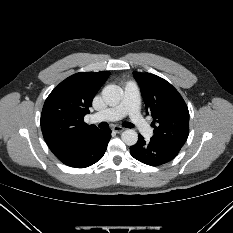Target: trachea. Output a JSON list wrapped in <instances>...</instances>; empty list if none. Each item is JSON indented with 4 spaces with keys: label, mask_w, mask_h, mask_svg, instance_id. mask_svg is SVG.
I'll return each instance as SVG.
<instances>
[{
    "label": "trachea",
    "mask_w": 233,
    "mask_h": 233,
    "mask_svg": "<svg viewBox=\"0 0 233 233\" xmlns=\"http://www.w3.org/2000/svg\"><path fill=\"white\" fill-rule=\"evenodd\" d=\"M123 126L126 127V128H133V127H134V125H133L132 123H130V122H125V123H123ZM99 127H100L101 129H105V128L108 127V123H106V122H101V123L99 124Z\"/></svg>",
    "instance_id": "3493384b"
}]
</instances>
